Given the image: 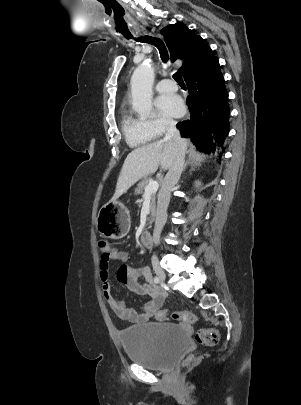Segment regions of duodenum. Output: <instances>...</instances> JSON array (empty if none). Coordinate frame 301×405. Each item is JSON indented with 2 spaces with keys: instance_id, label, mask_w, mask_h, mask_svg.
Masks as SVG:
<instances>
[{
  "instance_id": "obj_1",
  "label": "duodenum",
  "mask_w": 301,
  "mask_h": 405,
  "mask_svg": "<svg viewBox=\"0 0 301 405\" xmlns=\"http://www.w3.org/2000/svg\"><path fill=\"white\" fill-rule=\"evenodd\" d=\"M141 241L144 246H146L148 248L153 247L154 241H153V237L150 232H147V231L143 232L141 235Z\"/></svg>"
}]
</instances>
